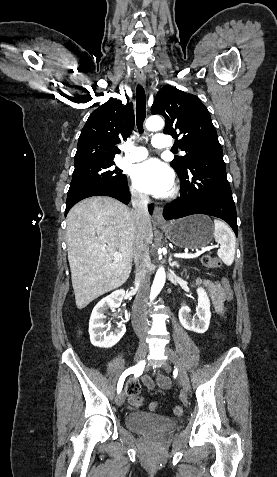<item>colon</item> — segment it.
<instances>
[{
  "label": "colon",
  "instance_id": "colon-1",
  "mask_svg": "<svg viewBox=\"0 0 277 477\" xmlns=\"http://www.w3.org/2000/svg\"><path fill=\"white\" fill-rule=\"evenodd\" d=\"M201 264L203 268H219L221 266V261L215 256L205 255L201 257ZM222 286L225 295V302L227 304H232L235 301V293L232 289V286L228 283L226 278L222 279ZM129 392V401L133 407H140L143 404V399L139 396V391L136 385L130 384L128 387ZM150 409L155 411L158 409L159 405L157 402H152L150 404ZM175 415H181L183 408L181 406H176L173 409Z\"/></svg>",
  "mask_w": 277,
  "mask_h": 477
}]
</instances>
